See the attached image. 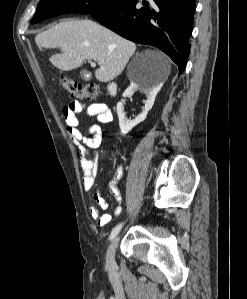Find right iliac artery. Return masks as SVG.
Here are the masks:
<instances>
[{
  "label": "right iliac artery",
  "instance_id": "obj_1",
  "mask_svg": "<svg viewBox=\"0 0 247 299\" xmlns=\"http://www.w3.org/2000/svg\"><path fill=\"white\" fill-rule=\"evenodd\" d=\"M122 226H123V223H120V224H118V225L112 230V232H111V234H110V237H109V240H110V241L113 240V239L116 237V235H117V234L119 233V231L121 230Z\"/></svg>",
  "mask_w": 247,
  "mask_h": 299
}]
</instances>
